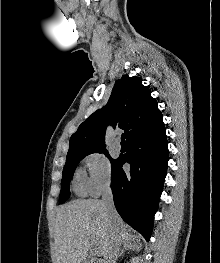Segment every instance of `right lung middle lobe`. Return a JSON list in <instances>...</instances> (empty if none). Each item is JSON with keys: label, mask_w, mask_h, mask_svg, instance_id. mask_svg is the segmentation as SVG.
Listing matches in <instances>:
<instances>
[{"label": "right lung middle lobe", "mask_w": 220, "mask_h": 263, "mask_svg": "<svg viewBox=\"0 0 220 263\" xmlns=\"http://www.w3.org/2000/svg\"><path fill=\"white\" fill-rule=\"evenodd\" d=\"M104 153L111 161V164L115 162L116 159H112L108 152L105 149L102 150H96V151H90V152H74V153H69L67 154L66 157V163L63 168V176H62V181H61V193L59 197V202L64 203L70 195L69 191V185H70V180L73 177L75 168L77 164L87 155L91 153Z\"/></svg>", "instance_id": "1"}]
</instances>
